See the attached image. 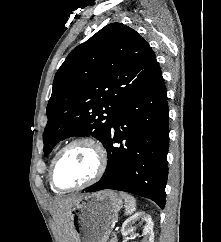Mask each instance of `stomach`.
Instances as JSON below:
<instances>
[{"label":"stomach","instance_id":"obj_1","mask_svg":"<svg viewBox=\"0 0 221 242\" xmlns=\"http://www.w3.org/2000/svg\"><path fill=\"white\" fill-rule=\"evenodd\" d=\"M121 208L122 199L114 191L81 196L70 208L73 242H107Z\"/></svg>","mask_w":221,"mask_h":242}]
</instances>
